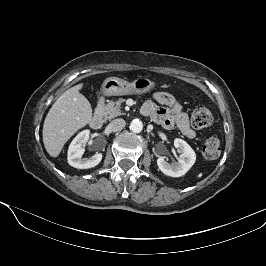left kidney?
I'll return each mask as SVG.
<instances>
[{"mask_svg":"<svg viewBox=\"0 0 266 266\" xmlns=\"http://www.w3.org/2000/svg\"><path fill=\"white\" fill-rule=\"evenodd\" d=\"M174 146L181 151V155L178 162L175 164H169L164 157L157 159L158 168L162 173L171 177L183 176L195 163L196 154L190 145L179 138L174 140Z\"/></svg>","mask_w":266,"mask_h":266,"instance_id":"5707ae66","label":"left kidney"}]
</instances>
